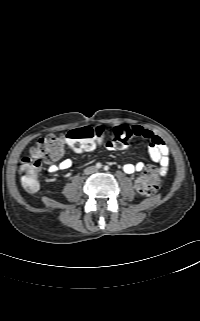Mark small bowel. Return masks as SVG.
Listing matches in <instances>:
<instances>
[{
  "instance_id": "small-bowel-1",
  "label": "small bowel",
  "mask_w": 200,
  "mask_h": 321,
  "mask_svg": "<svg viewBox=\"0 0 200 321\" xmlns=\"http://www.w3.org/2000/svg\"><path fill=\"white\" fill-rule=\"evenodd\" d=\"M131 128L135 133V137L148 139L150 141V145L148 149L149 157L153 162L159 164L160 174L165 175L168 171V165H169V149L166 143L164 142V140L160 136L156 135L153 131L149 129H145L139 125H134ZM106 146L109 149L117 148L111 139L107 141ZM62 155H63V151L59 156H57L56 158L48 162L49 173H56L60 170H67L72 166L71 159L69 158L61 159ZM57 161L59 162L56 163ZM144 169H145V163L142 161H139L136 163H126L123 166V170L127 174L138 173L143 171Z\"/></svg>"
}]
</instances>
